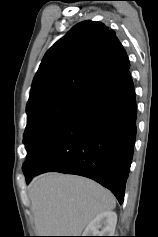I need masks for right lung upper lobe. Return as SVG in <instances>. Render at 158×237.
Wrapping results in <instances>:
<instances>
[{"label":"right lung upper lobe","mask_w":158,"mask_h":237,"mask_svg":"<svg viewBox=\"0 0 158 237\" xmlns=\"http://www.w3.org/2000/svg\"><path fill=\"white\" fill-rule=\"evenodd\" d=\"M128 56L100 22L75 25L45 54L34 77L27 108L54 97L85 101L129 70Z\"/></svg>","instance_id":"cb5924a9"}]
</instances>
